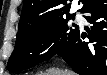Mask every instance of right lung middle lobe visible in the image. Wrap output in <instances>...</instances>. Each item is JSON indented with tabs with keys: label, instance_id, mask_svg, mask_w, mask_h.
Here are the masks:
<instances>
[{
	"label": "right lung middle lobe",
	"instance_id": "obj_1",
	"mask_svg": "<svg viewBox=\"0 0 107 75\" xmlns=\"http://www.w3.org/2000/svg\"><path fill=\"white\" fill-rule=\"evenodd\" d=\"M74 17L69 15L38 27L19 26L9 71L26 70L55 56L79 31L76 24L69 23Z\"/></svg>",
	"mask_w": 107,
	"mask_h": 75
}]
</instances>
